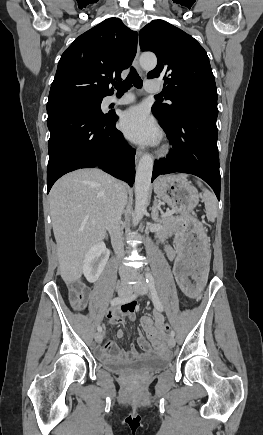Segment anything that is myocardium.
I'll use <instances>...</instances> for the list:
<instances>
[{"label": "myocardium", "instance_id": "1", "mask_svg": "<svg viewBox=\"0 0 263 435\" xmlns=\"http://www.w3.org/2000/svg\"><path fill=\"white\" fill-rule=\"evenodd\" d=\"M168 151H169V146H168L167 144H165V145L161 148L160 153H161V154H166Z\"/></svg>", "mask_w": 263, "mask_h": 435}]
</instances>
